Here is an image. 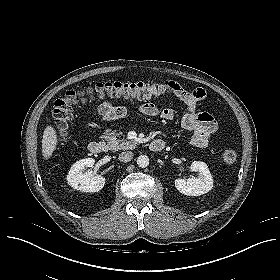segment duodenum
<instances>
[{
    "mask_svg": "<svg viewBox=\"0 0 280 280\" xmlns=\"http://www.w3.org/2000/svg\"><path fill=\"white\" fill-rule=\"evenodd\" d=\"M150 150L160 152L164 149L165 143L161 139H155L150 143ZM105 145L102 141L94 140L88 144V151L94 155H100L104 152Z\"/></svg>",
    "mask_w": 280,
    "mask_h": 280,
    "instance_id": "410a0bca",
    "label": "duodenum"
}]
</instances>
